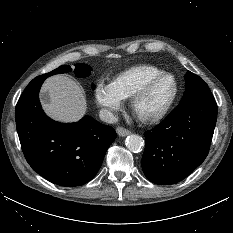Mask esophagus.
I'll return each mask as SVG.
<instances>
[{"label":"esophagus","mask_w":233,"mask_h":233,"mask_svg":"<svg viewBox=\"0 0 233 233\" xmlns=\"http://www.w3.org/2000/svg\"><path fill=\"white\" fill-rule=\"evenodd\" d=\"M116 132L119 136H122V137L127 136L131 133L129 130L123 127H117Z\"/></svg>","instance_id":"obj_1"}]
</instances>
